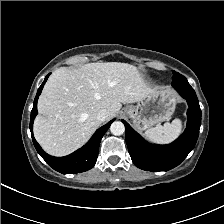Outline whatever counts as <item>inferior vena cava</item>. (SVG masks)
Instances as JSON below:
<instances>
[{
	"label": "inferior vena cava",
	"mask_w": 224,
	"mask_h": 224,
	"mask_svg": "<svg viewBox=\"0 0 224 224\" xmlns=\"http://www.w3.org/2000/svg\"><path fill=\"white\" fill-rule=\"evenodd\" d=\"M107 118H108L107 110L101 109L97 114V120L100 122H104L107 120Z\"/></svg>",
	"instance_id": "inferior-vena-cava-1"
}]
</instances>
